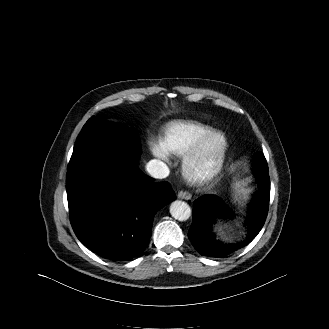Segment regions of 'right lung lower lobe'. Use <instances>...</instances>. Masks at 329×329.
I'll list each match as a JSON object with an SVG mask.
<instances>
[{"label": "right lung lower lobe", "instance_id": "right-lung-lower-lobe-1", "mask_svg": "<svg viewBox=\"0 0 329 329\" xmlns=\"http://www.w3.org/2000/svg\"><path fill=\"white\" fill-rule=\"evenodd\" d=\"M70 221L77 238L99 256L129 260L148 245L154 215L175 200L168 182H153L136 159L114 152L67 169Z\"/></svg>", "mask_w": 329, "mask_h": 329}]
</instances>
